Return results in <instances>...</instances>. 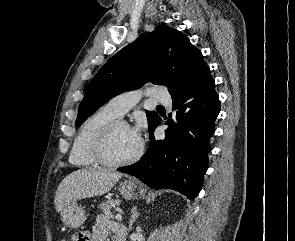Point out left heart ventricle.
I'll return each mask as SVG.
<instances>
[{
	"instance_id": "obj_1",
	"label": "left heart ventricle",
	"mask_w": 295,
	"mask_h": 241,
	"mask_svg": "<svg viewBox=\"0 0 295 241\" xmlns=\"http://www.w3.org/2000/svg\"><path fill=\"white\" fill-rule=\"evenodd\" d=\"M139 144L140 141L133 136L129 127L119 126L111 138L108 155L113 160L129 158L136 153Z\"/></svg>"
}]
</instances>
